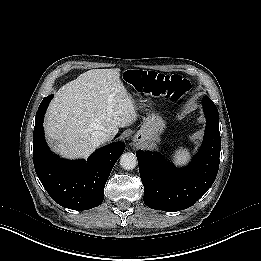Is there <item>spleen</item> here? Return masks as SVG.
Returning a JSON list of instances; mask_svg holds the SVG:
<instances>
[{"label":"spleen","instance_id":"3e777b00","mask_svg":"<svg viewBox=\"0 0 261 261\" xmlns=\"http://www.w3.org/2000/svg\"><path fill=\"white\" fill-rule=\"evenodd\" d=\"M173 159L176 165H185L191 159V153L188 148L180 147L173 155Z\"/></svg>","mask_w":261,"mask_h":261}]
</instances>
